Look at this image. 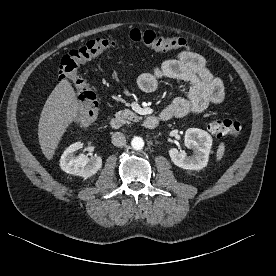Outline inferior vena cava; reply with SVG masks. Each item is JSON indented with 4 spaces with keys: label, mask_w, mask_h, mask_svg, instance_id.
I'll return each instance as SVG.
<instances>
[{
    "label": "inferior vena cava",
    "mask_w": 276,
    "mask_h": 276,
    "mask_svg": "<svg viewBox=\"0 0 276 276\" xmlns=\"http://www.w3.org/2000/svg\"><path fill=\"white\" fill-rule=\"evenodd\" d=\"M112 144L116 147H124L126 145V138L123 133L115 132L112 135Z\"/></svg>",
    "instance_id": "inferior-vena-cava-1"
}]
</instances>
